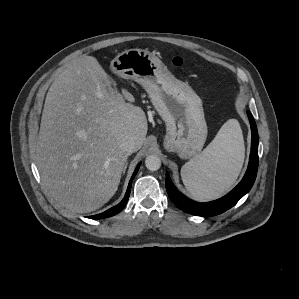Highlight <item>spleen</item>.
Instances as JSON below:
<instances>
[{"label":"spleen","instance_id":"obj_1","mask_svg":"<svg viewBox=\"0 0 299 299\" xmlns=\"http://www.w3.org/2000/svg\"><path fill=\"white\" fill-rule=\"evenodd\" d=\"M243 161L242 130L236 119H230L200 154L182 166V181L196 199H216L233 186Z\"/></svg>","mask_w":299,"mask_h":299}]
</instances>
